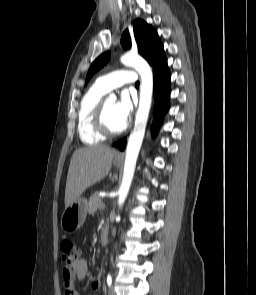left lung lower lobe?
<instances>
[{
  "label": "left lung lower lobe",
  "mask_w": 256,
  "mask_h": 295,
  "mask_svg": "<svg viewBox=\"0 0 256 295\" xmlns=\"http://www.w3.org/2000/svg\"><path fill=\"white\" fill-rule=\"evenodd\" d=\"M154 75V93L156 105L154 109V123L153 134L158 131L159 125L162 122L164 114L169 109V96H170V72L167 64H164L158 68L153 69ZM126 145V139H123L114 146H117L120 150H124Z\"/></svg>",
  "instance_id": "1"
}]
</instances>
